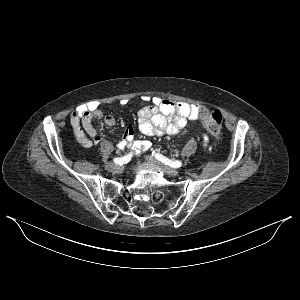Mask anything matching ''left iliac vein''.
<instances>
[{"label": "left iliac vein", "instance_id": "4c4485c4", "mask_svg": "<svg viewBox=\"0 0 300 300\" xmlns=\"http://www.w3.org/2000/svg\"><path fill=\"white\" fill-rule=\"evenodd\" d=\"M145 159L149 164L158 166L168 176H177L179 174L178 170L162 164L161 162L157 161L155 158H153L151 156H146Z\"/></svg>", "mask_w": 300, "mask_h": 300}]
</instances>
